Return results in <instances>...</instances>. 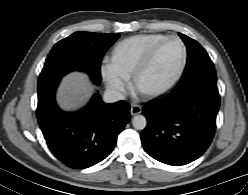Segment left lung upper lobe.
Instances as JSON below:
<instances>
[{
    "label": "left lung upper lobe",
    "mask_w": 248,
    "mask_h": 195,
    "mask_svg": "<svg viewBox=\"0 0 248 195\" xmlns=\"http://www.w3.org/2000/svg\"><path fill=\"white\" fill-rule=\"evenodd\" d=\"M179 35L188 51L186 67L179 83L189 86L197 82L217 80L214 65L206 50L192 38L181 33Z\"/></svg>",
    "instance_id": "5c2ea615"
}]
</instances>
